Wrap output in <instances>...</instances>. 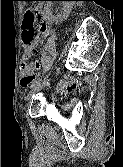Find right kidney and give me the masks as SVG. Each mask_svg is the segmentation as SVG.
I'll return each instance as SVG.
<instances>
[{
	"mask_svg": "<svg viewBox=\"0 0 123 167\" xmlns=\"http://www.w3.org/2000/svg\"><path fill=\"white\" fill-rule=\"evenodd\" d=\"M51 5H52V2L49 1L48 6L46 8L47 9L46 14L51 16L53 21L62 22L68 17V15H69V13L74 5V2H66V1L61 2V5L63 6V12L61 14H57L56 16H53L52 13L50 12Z\"/></svg>",
	"mask_w": 123,
	"mask_h": 167,
	"instance_id": "1",
	"label": "right kidney"
}]
</instances>
